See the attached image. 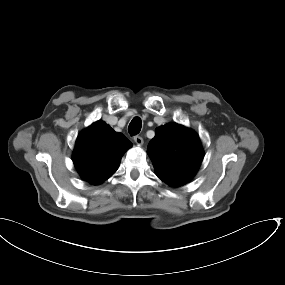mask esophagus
Listing matches in <instances>:
<instances>
[{"mask_svg": "<svg viewBox=\"0 0 285 285\" xmlns=\"http://www.w3.org/2000/svg\"><path fill=\"white\" fill-rule=\"evenodd\" d=\"M134 141H135V143L137 144V145H142L143 144V138L141 137V136H134Z\"/></svg>", "mask_w": 285, "mask_h": 285, "instance_id": "obj_1", "label": "esophagus"}]
</instances>
